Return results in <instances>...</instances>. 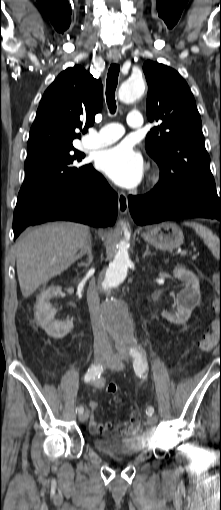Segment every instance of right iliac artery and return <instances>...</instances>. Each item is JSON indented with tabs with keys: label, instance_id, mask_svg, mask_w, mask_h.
<instances>
[{
	"label": "right iliac artery",
	"instance_id": "1",
	"mask_svg": "<svg viewBox=\"0 0 221 510\" xmlns=\"http://www.w3.org/2000/svg\"><path fill=\"white\" fill-rule=\"evenodd\" d=\"M102 372H103V366L94 364L88 369L87 373L85 374L84 381L85 382L93 381V380L99 378L100 375L102 374ZM83 411H84V408L82 406H80L76 409V412H78L79 414H81Z\"/></svg>",
	"mask_w": 221,
	"mask_h": 510
}]
</instances>
